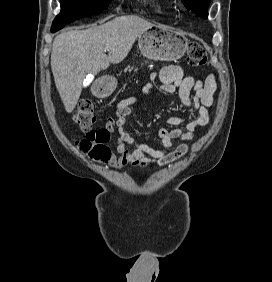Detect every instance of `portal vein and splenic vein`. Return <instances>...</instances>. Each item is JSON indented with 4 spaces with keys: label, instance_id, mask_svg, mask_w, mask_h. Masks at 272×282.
Masks as SVG:
<instances>
[{
    "label": "portal vein and splenic vein",
    "instance_id": "18ae733b",
    "mask_svg": "<svg viewBox=\"0 0 272 282\" xmlns=\"http://www.w3.org/2000/svg\"><path fill=\"white\" fill-rule=\"evenodd\" d=\"M104 51H105V52H106V51H109V47L106 46V47L104 48Z\"/></svg>",
    "mask_w": 272,
    "mask_h": 282
}]
</instances>
